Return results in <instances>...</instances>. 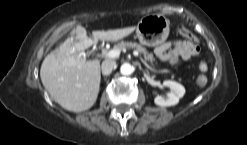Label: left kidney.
Segmentation results:
<instances>
[{"label": "left kidney", "instance_id": "1", "mask_svg": "<svg viewBox=\"0 0 247 145\" xmlns=\"http://www.w3.org/2000/svg\"><path fill=\"white\" fill-rule=\"evenodd\" d=\"M163 85L169 87L171 92L168 93L167 98L156 96L154 99L155 104L161 107L176 105L179 102V99L185 94L184 86L171 80H165Z\"/></svg>", "mask_w": 247, "mask_h": 145}]
</instances>
